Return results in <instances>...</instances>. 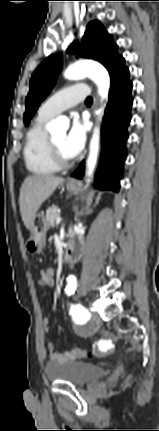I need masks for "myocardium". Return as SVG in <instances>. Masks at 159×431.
Returning <instances> with one entry per match:
<instances>
[{
	"label": "myocardium",
	"instance_id": "f54148a6",
	"mask_svg": "<svg viewBox=\"0 0 159 431\" xmlns=\"http://www.w3.org/2000/svg\"><path fill=\"white\" fill-rule=\"evenodd\" d=\"M49 146L52 160L59 168L70 167L73 164V158H66L61 153L60 149L55 144L52 137H49Z\"/></svg>",
	"mask_w": 159,
	"mask_h": 431
}]
</instances>
